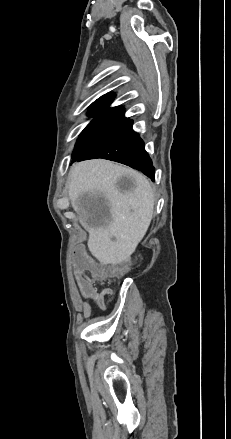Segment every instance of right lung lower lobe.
<instances>
[{
	"label": "right lung lower lobe",
	"mask_w": 231,
	"mask_h": 439,
	"mask_svg": "<svg viewBox=\"0 0 231 439\" xmlns=\"http://www.w3.org/2000/svg\"><path fill=\"white\" fill-rule=\"evenodd\" d=\"M126 120L105 139L85 152L76 161L103 158L116 161L143 172L154 181L155 170L144 149V142Z\"/></svg>",
	"instance_id": "right-lung-lower-lobe-1"
}]
</instances>
